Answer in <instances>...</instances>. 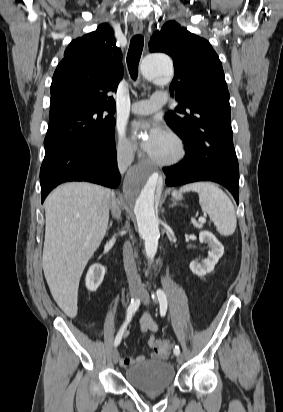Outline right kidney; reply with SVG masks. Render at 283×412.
Returning a JSON list of instances; mask_svg holds the SVG:
<instances>
[{
    "label": "right kidney",
    "instance_id": "right-kidney-1",
    "mask_svg": "<svg viewBox=\"0 0 283 412\" xmlns=\"http://www.w3.org/2000/svg\"><path fill=\"white\" fill-rule=\"evenodd\" d=\"M105 275V268L101 264H93L89 267L86 275V287L89 291L94 292L101 285Z\"/></svg>",
    "mask_w": 283,
    "mask_h": 412
}]
</instances>
